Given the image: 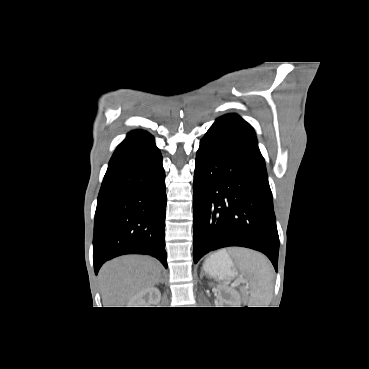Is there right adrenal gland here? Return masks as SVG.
<instances>
[{
    "label": "right adrenal gland",
    "instance_id": "2a0ac1e0",
    "mask_svg": "<svg viewBox=\"0 0 369 369\" xmlns=\"http://www.w3.org/2000/svg\"><path fill=\"white\" fill-rule=\"evenodd\" d=\"M159 282L162 283V284L164 283V280L162 278V275L160 276V279L158 280V282L156 284H159Z\"/></svg>",
    "mask_w": 369,
    "mask_h": 369
}]
</instances>
